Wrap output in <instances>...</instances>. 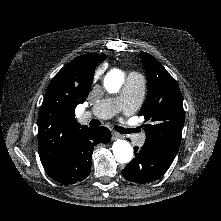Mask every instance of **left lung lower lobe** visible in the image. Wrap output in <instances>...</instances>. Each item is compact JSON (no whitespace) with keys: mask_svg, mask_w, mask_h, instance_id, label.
<instances>
[{"mask_svg":"<svg viewBox=\"0 0 221 221\" xmlns=\"http://www.w3.org/2000/svg\"><path fill=\"white\" fill-rule=\"evenodd\" d=\"M178 148L172 146L135 147V158L123 169L126 179L136 183H149L160 178L172 164Z\"/></svg>","mask_w":221,"mask_h":221,"instance_id":"left-lung-lower-lobe-1","label":"left lung lower lobe"}]
</instances>
